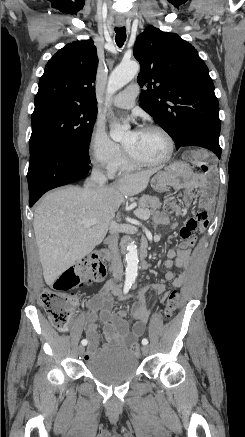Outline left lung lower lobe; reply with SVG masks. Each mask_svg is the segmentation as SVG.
Returning a JSON list of instances; mask_svg holds the SVG:
<instances>
[{"label": "left lung lower lobe", "instance_id": "0a47b994", "mask_svg": "<svg viewBox=\"0 0 245 437\" xmlns=\"http://www.w3.org/2000/svg\"><path fill=\"white\" fill-rule=\"evenodd\" d=\"M180 146H200L213 151L218 158L221 157V148L219 145V133L208 128H199L193 130L185 136Z\"/></svg>", "mask_w": 245, "mask_h": 437}]
</instances>
